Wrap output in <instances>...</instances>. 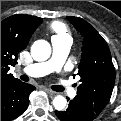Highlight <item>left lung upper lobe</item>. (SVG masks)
<instances>
[{
  "mask_svg": "<svg viewBox=\"0 0 121 121\" xmlns=\"http://www.w3.org/2000/svg\"><path fill=\"white\" fill-rule=\"evenodd\" d=\"M67 19L83 36L81 62L78 67L81 83L73 101L100 113L108 104L115 83V68L109 47L85 20L78 17Z\"/></svg>",
  "mask_w": 121,
  "mask_h": 121,
  "instance_id": "obj_1",
  "label": "left lung upper lobe"
}]
</instances>
